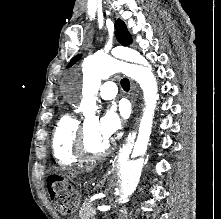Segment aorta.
Segmentation results:
<instances>
[{"label":"aorta","instance_id":"1","mask_svg":"<svg viewBox=\"0 0 221 219\" xmlns=\"http://www.w3.org/2000/svg\"><path fill=\"white\" fill-rule=\"evenodd\" d=\"M121 61L133 62L150 68L146 59L130 48H118L113 50L112 54H95L84 59L83 72L91 81V86L85 92L80 105L85 117L95 115L96 100L94 96L100 88L101 80L108 79L114 74L121 66ZM146 143L147 140H144L140 145L135 146L132 153L131 149L127 148L116 162L113 189L115 199L120 206L129 201L137 188L143 169Z\"/></svg>","mask_w":221,"mask_h":219}]
</instances>
